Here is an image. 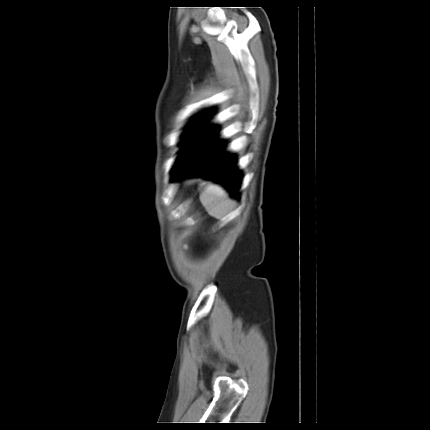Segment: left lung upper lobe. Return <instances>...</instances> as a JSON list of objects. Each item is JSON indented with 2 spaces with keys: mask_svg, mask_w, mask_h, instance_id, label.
Masks as SVG:
<instances>
[{
  "mask_svg": "<svg viewBox=\"0 0 430 430\" xmlns=\"http://www.w3.org/2000/svg\"><path fill=\"white\" fill-rule=\"evenodd\" d=\"M202 114V113H201ZM198 121L197 122H195V123H193L192 125H191V127H193V126H197V125H199V123L200 122H202V121H204V120H200V119H202L201 118V116H199L198 118ZM204 119V118H203ZM195 131L196 130H191V131H189V133L188 134H185L183 137H184V141H182V143H184V142H186V141H188L189 139H190V137L195 133Z\"/></svg>",
  "mask_w": 430,
  "mask_h": 430,
  "instance_id": "left-lung-upper-lobe-1",
  "label": "left lung upper lobe"
}]
</instances>
